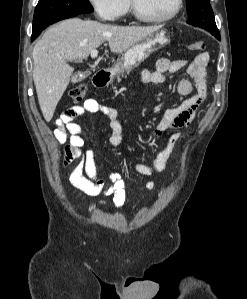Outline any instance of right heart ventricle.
Here are the masks:
<instances>
[{"label":"right heart ventricle","mask_w":247,"mask_h":299,"mask_svg":"<svg viewBox=\"0 0 247 299\" xmlns=\"http://www.w3.org/2000/svg\"><path fill=\"white\" fill-rule=\"evenodd\" d=\"M130 9V0H126V9H125V13L128 12Z\"/></svg>","instance_id":"obj_1"}]
</instances>
